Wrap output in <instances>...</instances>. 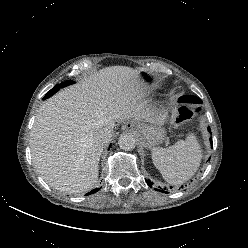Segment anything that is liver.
I'll use <instances>...</instances> for the list:
<instances>
[{"label": "liver", "instance_id": "6515ba94", "mask_svg": "<svg viewBox=\"0 0 248 248\" xmlns=\"http://www.w3.org/2000/svg\"><path fill=\"white\" fill-rule=\"evenodd\" d=\"M139 72L106 67L61 90L39 108L30 134L32 161L53 188L76 194L94 187L107 144L94 141L99 130L125 118L140 120Z\"/></svg>", "mask_w": 248, "mask_h": 248}]
</instances>
